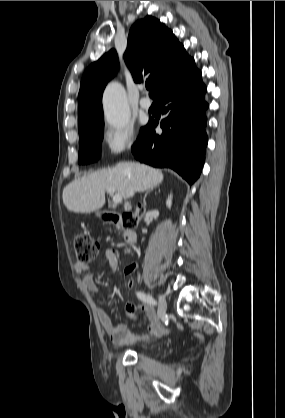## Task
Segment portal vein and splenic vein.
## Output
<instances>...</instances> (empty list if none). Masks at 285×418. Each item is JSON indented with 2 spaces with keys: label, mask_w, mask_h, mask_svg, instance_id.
Segmentation results:
<instances>
[{
  "label": "portal vein and splenic vein",
  "mask_w": 285,
  "mask_h": 418,
  "mask_svg": "<svg viewBox=\"0 0 285 418\" xmlns=\"http://www.w3.org/2000/svg\"><path fill=\"white\" fill-rule=\"evenodd\" d=\"M107 192L110 194V195H114L113 196V203L114 204H118V203H120L121 201H122V196L120 195V194H118V193H115V191L114 190H112V189H108L107 190ZM115 193V194H114Z\"/></svg>",
  "instance_id": "portal-vein-and-splenic-vein-1"
}]
</instances>
